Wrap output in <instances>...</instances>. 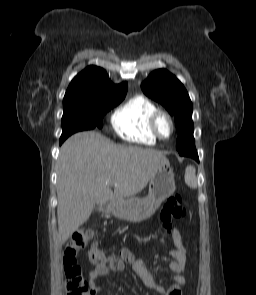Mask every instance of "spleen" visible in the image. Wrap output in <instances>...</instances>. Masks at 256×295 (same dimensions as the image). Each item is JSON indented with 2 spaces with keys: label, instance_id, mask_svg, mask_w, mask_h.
Returning <instances> with one entry per match:
<instances>
[{
  "label": "spleen",
  "instance_id": "spleen-1",
  "mask_svg": "<svg viewBox=\"0 0 256 295\" xmlns=\"http://www.w3.org/2000/svg\"><path fill=\"white\" fill-rule=\"evenodd\" d=\"M185 182L191 187H196V176H195V168L193 166H188L185 174Z\"/></svg>",
  "mask_w": 256,
  "mask_h": 295
}]
</instances>
